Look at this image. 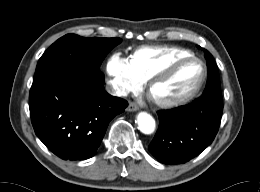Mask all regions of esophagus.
Returning a JSON list of instances; mask_svg holds the SVG:
<instances>
[{
	"label": "esophagus",
	"mask_w": 260,
	"mask_h": 192,
	"mask_svg": "<svg viewBox=\"0 0 260 192\" xmlns=\"http://www.w3.org/2000/svg\"><path fill=\"white\" fill-rule=\"evenodd\" d=\"M139 109L135 102H130L128 106V111H137Z\"/></svg>",
	"instance_id": "esophagus-1"
}]
</instances>
